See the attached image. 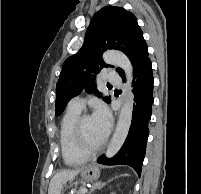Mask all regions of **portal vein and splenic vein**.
I'll return each mask as SVG.
<instances>
[{"instance_id": "obj_1", "label": "portal vein and splenic vein", "mask_w": 201, "mask_h": 194, "mask_svg": "<svg viewBox=\"0 0 201 194\" xmlns=\"http://www.w3.org/2000/svg\"><path fill=\"white\" fill-rule=\"evenodd\" d=\"M85 192H87V189H84V190H83V193H85Z\"/></svg>"}]
</instances>
